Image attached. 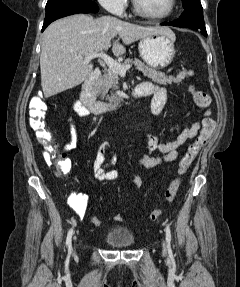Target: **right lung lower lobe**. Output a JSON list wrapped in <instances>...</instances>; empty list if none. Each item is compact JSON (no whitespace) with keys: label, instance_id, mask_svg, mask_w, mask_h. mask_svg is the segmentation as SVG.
<instances>
[{"label":"right lung lower lobe","instance_id":"98d812e1","mask_svg":"<svg viewBox=\"0 0 240 287\" xmlns=\"http://www.w3.org/2000/svg\"><path fill=\"white\" fill-rule=\"evenodd\" d=\"M98 6L91 0H64L46 6L42 31L54 20L77 13L98 12Z\"/></svg>","mask_w":240,"mask_h":287}]
</instances>
